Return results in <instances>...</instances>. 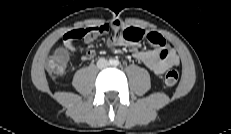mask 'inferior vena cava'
<instances>
[{"mask_svg":"<svg viewBox=\"0 0 231 134\" xmlns=\"http://www.w3.org/2000/svg\"><path fill=\"white\" fill-rule=\"evenodd\" d=\"M108 65H109V62L104 58H100L97 62V67L99 69L106 68Z\"/></svg>","mask_w":231,"mask_h":134,"instance_id":"inferior-vena-cava-1","label":"inferior vena cava"}]
</instances>
